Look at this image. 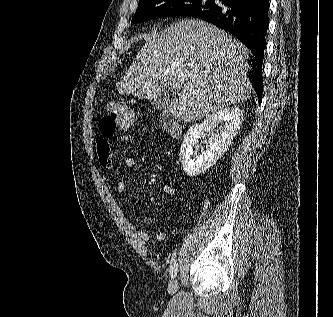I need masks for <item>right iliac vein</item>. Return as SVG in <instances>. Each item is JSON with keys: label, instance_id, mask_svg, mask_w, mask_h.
Masks as SVG:
<instances>
[{"label": "right iliac vein", "instance_id": "obj_1", "mask_svg": "<svg viewBox=\"0 0 333 317\" xmlns=\"http://www.w3.org/2000/svg\"><path fill=\"white\" fill-rule=\"evenodd\" d=\"M178 289V281L177 279L173 278L170 282H169V285H168V292L170 294H174L176 293Z\"/></svg>", "mask_w": 333, "mask_h": 317}]
</instances>
